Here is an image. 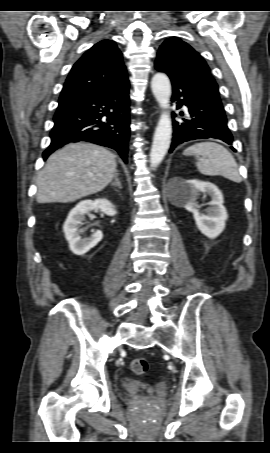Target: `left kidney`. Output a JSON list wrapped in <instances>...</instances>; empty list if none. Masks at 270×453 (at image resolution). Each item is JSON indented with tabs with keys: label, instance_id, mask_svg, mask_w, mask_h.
<instances>
[{
	"label": "left kidney",
	"instance_id": "obj_1",
	"mask_svg": "<svg viewBox=\"0 0 270 453\" xmlns=\"http://www.w3.org/2000/svg\"><path fill=\"white\" fill-rule=\"evenodd\" d=\"M201 193L212 198L208 203L210 207L204 210L205 213L200 212L197 203ZM180 203L193 214L197 228L208 238H216L225 229L228 214L223 205L222 192L216 185L200 180H186L184 181Z\"/></svg>",
	"mask_w": 270,
	"mask_h": 453
}]
</instances>
